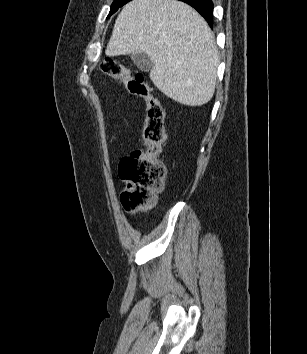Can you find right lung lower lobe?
Instances as JSON below:
<instances>
[{"label": "right lung lower lobe", "instance_id": "98d812e1", "mask_svg": "<svg viewBox=\"0 0 307 354\" xmlns=\"http://www.w3.org/2000/svg\"><path fill=\"white\" fill-rule=\"evenodd\" d=\"M195 8L212 27L213 2L211 0H180Z\"/></svg>", "mask_w": 307, "mask_h": 354}]
</instances>
